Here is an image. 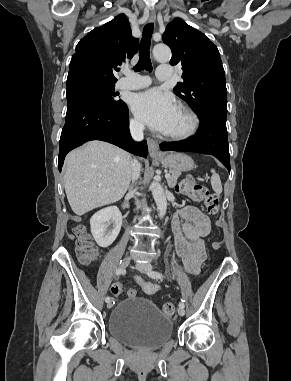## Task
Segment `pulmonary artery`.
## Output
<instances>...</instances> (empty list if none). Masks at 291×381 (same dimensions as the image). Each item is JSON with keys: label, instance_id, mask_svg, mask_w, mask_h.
<instances>
[{"label": "pulmonary artery", "instance_id": "obj_1", "mask_svg": "<svg viewBox=\"0 0 291 381\" xmlns=\"http://www.w3.org/2000/svg\"><path fill=\"white\" fill-rule=\"evenodd\" d=\"M173 68L170 65H159L156 71V77L160 81L169 80L172 76ZM151 84V79L148 76H142L130 71L124 72L118 83L117 87L122 90H137L142 89Z\"/></svg>", "mask_w": 291, "mask_h": 381}]
</instances>
